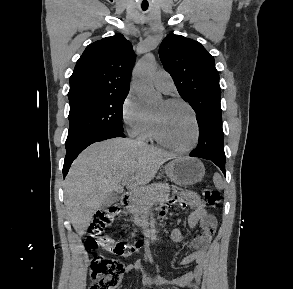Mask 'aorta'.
Segmentation results:
<instances>
[{"mask_svg": "<svg viewBox=\"0 0 293 289\" xmlns=\"http://www.w3.org/2000/svg\"><path fill=\"white\" fill-rule=\"evenodd\" d=\"M155 71L156 63L151 56L140 61L134 69L133 88L142 103L147 106L157 105L162 100L161 94L154 89L152 84Z\"/></svg>", "mask_w": 293, "mask_h": 289, "instance_id": "aorta-1", "label": "aorta"}]
</instances>
